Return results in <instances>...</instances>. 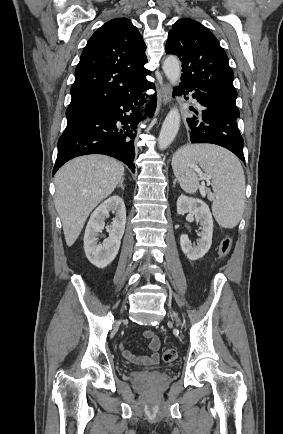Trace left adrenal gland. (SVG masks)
Segmentation results:
<instances>
[{"label": "left adrenal gland", "mask_w": 283, "mask_h": 434, "mask_svg": "<svg viewBox=\"0 0 283 434\" xmlns=\"http://www.w3.org/2000/svg\"><path fill=\"white\" fill-rule=\"evenodd\" d=\"M176 181H177V180L175 179V180H174V182H173V186H175V184H176Z\"/></svg>", "instance_id": "a2214340"}]
</instances>
